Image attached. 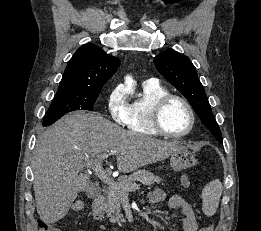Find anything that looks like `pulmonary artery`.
Returning <instances> with one entry per match:
<instances>
[{
	"mask_svg": "<svg viewBox=\"0 0 261 231\" xmlns=\"http://www.w3.org/2000/svg\"><path fill=\"white\" fill-rule=\"evenodd\" d=\"M154 83H156V80L153 79V78L147 79V80L144 81V84H154Z\"/></svg>",
	"mask_w": 261,
	"mask_h": 231,
	"instance_id": "pulmonary-artery-1",
	"label": "pulmonary artery"
}]
</instances>
